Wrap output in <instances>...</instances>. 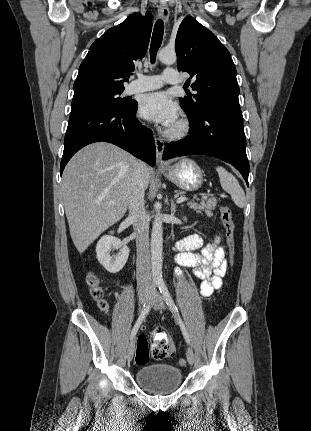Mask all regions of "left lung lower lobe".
<instances>
[{
    "label": "left lung lower lobe",
    "instance_id": "left-lung-lower-lobe-1",
    "mask_svg": "<svg viewBox=\"0 0 311 431\" xmlns=\"http://www.w3.org/2000/svg\"><path fill=\"white\" fill-rule=\"evenodd\" d=\"M188 120L192 124L189 136L167 144L163 159L195 154L213 156L232 164L248 185L249 163L239 104L214 105Z\"/></svg>",
    "mask_w": 311,
    "mask_h": 431
}]
</instances>
